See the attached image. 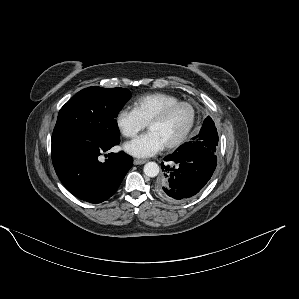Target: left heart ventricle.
<instances>
[{"label": "left heart ventricle", "mask_w": 299, "mask_h": 299, "mask_svg": "<svg viewBox=\"0 0 299 299\" xmlns=\"http://www.w3.org/2000/svg\"><path fill=\"white\" fill-rule=\"evenodd\" d=\"M191 117L190 108L182 106L173 111L164 121L151 125L149 131L156 133L166 145L182 134L189 125Z\"/></svg>", "instance_id": "left-heart-ventricle-1"}]
</instances>
